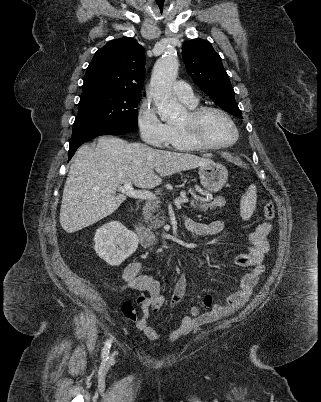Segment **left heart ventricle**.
<instances>
[{
  "mask_svg": "<svg viewBox=\"0 0 321 402\" xmlns=\"http://www.w3.org/2000/svg\"><path fill=\"white\" fill-rule=\"evenodd\" d=\"M186 118V114L181 121ZM200 133L210 143L223 144L231 141L234 131L230 123L216 112H208L200 122Z\"/></svg>",
  "mask_w": 321,
  "mask_h": 402,
  "instance_id": "obj_1",
  "label": "left heart ventricle"
}]
</instances>
